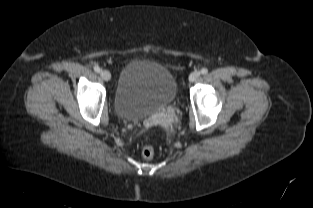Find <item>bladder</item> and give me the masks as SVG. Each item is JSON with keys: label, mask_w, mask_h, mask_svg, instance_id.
Segmentation results:
<instances>
[{"label": "bladder", "mask_w": 313, "mask_h": 208, "mask_svg": "<svg viewBox=\"0 0 313 208\" xmlns=\"http://www.w3.org/2000/svg\"><path fill=\"white\" fill-rule=\"evenodd\" d=\"M176 94L175 77L167 68L150 61H133L120 73L114 107L123 119H142L170 105Z\"/></svg>", "instance_id": "1"}]
</instances>
